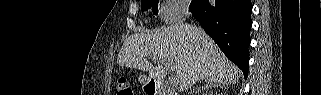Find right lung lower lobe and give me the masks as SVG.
Returning a JSON list of instances; mask_svg holds the SVG:
<instances>
[{"label": "right lung lower lobe", "mask_w": 321, "mask_h": 95, "mask_svg": "<svg viewBox=\"0 0 321 95\" xmlns=\"http://www.w3.org/2000/svg\"><path fill=\"white\" fill-rule=\"evenodd\" d=\"M215 1L212 4L208 0H201L193 11V16L247 78L253 7L251 0Z\"/></svg>", "instance_id": "1"}]
</instances>
